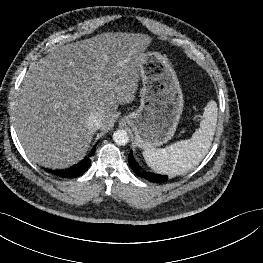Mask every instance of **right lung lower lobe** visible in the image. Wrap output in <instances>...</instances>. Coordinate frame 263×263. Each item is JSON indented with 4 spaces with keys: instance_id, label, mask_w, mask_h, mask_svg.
<instances>
[{
    "instance_id": "obj_1",
    "label": "right lung lower lobe",
    "mask_w": 263,
    "mask_h": 263,
    "mask_svg": "<svg viewBox=\"0 0 263 263\" xmlns=\"http://www.w3.org/2000/svg\"><path fill=\"white\" fill-rule=\"evenodd\" d=\"M95 152V148L92 150V152L90 153L89 156H93ZM91 164V160L89 158H86L85 160H83L82 162H80L79 164H77L76 166L70 168V169H66V170H50V169H45L48 172H51L57 176L60 177H65V178H74V177H78L80 175H82L90 166Z\"/></svg>"
}]
</instances>
